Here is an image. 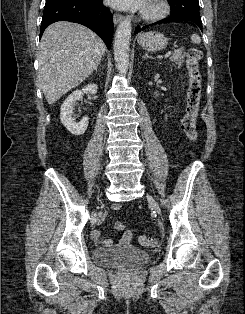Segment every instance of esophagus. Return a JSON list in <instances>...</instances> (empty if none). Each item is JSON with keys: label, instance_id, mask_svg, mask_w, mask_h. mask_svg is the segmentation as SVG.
Returning a JSON list of instances; mask_svg holds the SVG:
<instances>
[{"label": "esophagus", "instance_id": "1", "mask_svg": "<svg viewBox=\"0 0 245 314\" xmlns=\"http://www.w3.org/2000/svg\"><path fill=\"white\" fill-rule=\"evenodd\" d=\"M123 19V16L118 14V13H114L113 15V20L115 24H118L121 22V20Z\"/></svg>", "mask_w": 245, "mask_h": 314}]
</instances>
